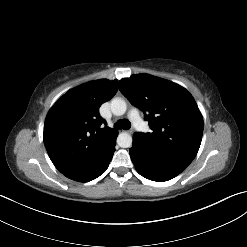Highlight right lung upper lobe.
<instances>
[{
	"instance_id": "right-lung-upper-lobe-1",
	"label": "right lung upper lobe",
	"mask_w": 247,
	"mask_h": 247,
	"mask_svg": "<svg viewBox=\"0 0 247 247\" xmlns=\"http://www.w3.org/2000/svg\"><path fill=\"white\" fill-rule=\"evenodd\" d=\"M117 90L116 80L89 82L68 91L50 109L43 139L51 161L62 174L93 164L117 137L118 132L107 127L99 115L100 106Z\"/></svg>"
}]
</instances>
